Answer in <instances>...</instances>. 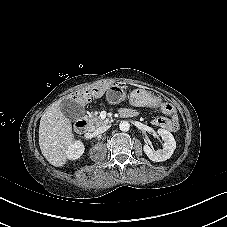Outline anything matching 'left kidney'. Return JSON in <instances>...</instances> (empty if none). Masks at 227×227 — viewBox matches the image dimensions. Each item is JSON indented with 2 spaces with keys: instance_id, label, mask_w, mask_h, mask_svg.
<instances>
[{
  "instance_id": "5707ae66",
  "label": "left kidney",
  "mask_w": 227,
  "mask_h": 227,
  "mask_svg": "<svg viewBox=\"0 0 227 227\" xmlns=\"http://www.w3.org/2000/svg\"><path fill=\"white\" fill-rule=\"evenodd\" d=\"M158 134L164 141L163 149L155 151L148 144H145L143 147L147 157L154 162H162L169 159L176 148L175 139L169 131L165 129H159Z\"/></svg>"
}]
</instances>
